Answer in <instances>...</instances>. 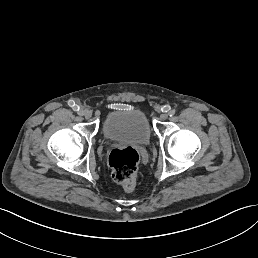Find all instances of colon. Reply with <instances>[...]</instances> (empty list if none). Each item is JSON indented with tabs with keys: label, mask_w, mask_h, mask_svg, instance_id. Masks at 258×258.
Returning a JSON list of instances; mask_svg holds the SVG:
<instances>
[{
	"label": "colon",
	"mask_w": 258,
	"mask_h": 258,
	"mask_svg": "<svg viewBox=\"0 0 258 258\" xmlns=\"http://www.w3.org/2000/svg\"><path fill=\"white\" fill-rule=\"evenodd\" d=\"M139 153L132 147L114 148L109 154L113 179L127 189L135 185Z\"/></svg>",
	"instance_id": "obj_1"
}]
</instances>
